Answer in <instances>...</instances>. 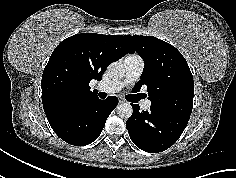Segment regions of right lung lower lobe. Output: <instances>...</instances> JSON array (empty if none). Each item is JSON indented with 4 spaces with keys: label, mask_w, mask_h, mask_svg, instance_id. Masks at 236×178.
I'll use <instances>...</instances> for the list:
<instances>
[{
    "label": "right lung lower lobe",
    "mask_w": 236,
    "mask_h": 178,
    "mask_svg": "<svg viewBox=\"0 0 236 178\" xmlns=\"http://www.w3.org/2000/svg\"><path fill=\"white\" fill-rule=\"evenodd\" d=\"M117 104L118 99L114 96L106 100L96 97L83 106L55 114L48 121L62 140L72 145L84 146L99 137Z\"/></svg>",
    "instance_id": "right-lung-lower-lobe-1"
}]
</instances>
